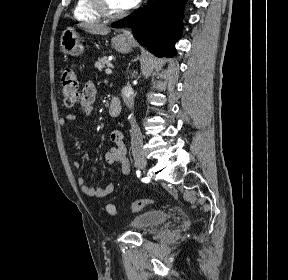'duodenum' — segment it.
I'll return each instance as SVG.
<instances>
[{
	"mask_svg": "<svg viewBox=\"0 0 288 280\" xmlns=\"http://www.w3.org/2000/svg\"><path fill=\"white\" fill-rule=\"evenodd\" d=\"M121 112V103L117 98L111 99L108 105V113L111 117H118Z\"/></svg>",
	"mask_w": 288,
	"mask_h": 280,
	"instance_id": "duodenum-1",
	"label": "duodenum"
}]
</instances>
